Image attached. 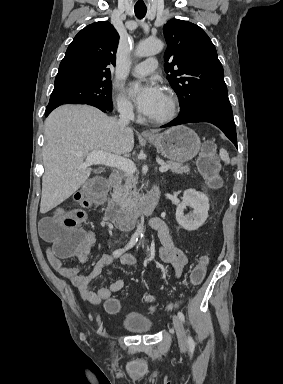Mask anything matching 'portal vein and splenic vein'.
<instances>
[{
    "label": "portal vein and splenic vein",
    "instance_id": "1",
    "mask_svg": "<svg viewBox=\"0 0 283 384\" xmlns=\"http://www.w3.org/2000/svg\"><path fill=\"white\" fill-rule=\"evenodd\" d=\"M78 156H81V154H78ZM85 164L87 166H91V164H104V166H111V168L122 170L128 176H133L134 172H136V166L132 160L121 158V156H114V154H107V152H98V150L90 152L86 156ZM160 166L159 172H167L169 170V166H164V164H160Z\"/></svg>",
    "mask_w": 283,
    "mask_h": 384
}]
</instances>
